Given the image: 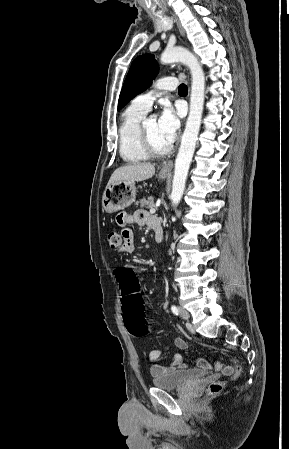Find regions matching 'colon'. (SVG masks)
<instances>
[{
    "mask_svg": "<svg viewBox=\"0 0 289 449\" xmlns=\"http://www.w3.org/2000/svg\"><path fill=\"white\" fill-rule=\"evenodd\" d=\"M107 240L112 250L122 247L124 239L122 233L112 231ZM113 276L119 284L122 293L121 305H123L124 321L128 331L135 336H144L151 333L152 329L144 314V305L136 275L131 268H114ZM234 364L232 375L238 377L242 373L241 363L232 358ZM223 388L222 382H214L210 385V392L217 393Z\"/></svg>",
    "mask_w": 289,
    "mask_h": 449,
    "instance_id": "1",
    "label": "colon"
}]
</instances>
